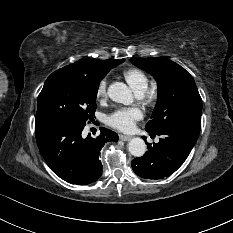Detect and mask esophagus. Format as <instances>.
I'll list each match as a JSON object with an SVG mask.
<instances>
[{
    "label": "esophagus",
    "instance_id": "1",
    "mask_svg": "<svg viewBox=\"0 0 233 233\" xmlns=\"http://www.w3.org/2000/svg\"><path fill=\"white\" fill-rule=\"evenodd\" d=\"M120 140L122 141H129L132 137L131 136H127V135H120L119 136Z\"/></svg>",
    "mask_w": 233,
    "mask_h": 233
}]
</instances>
